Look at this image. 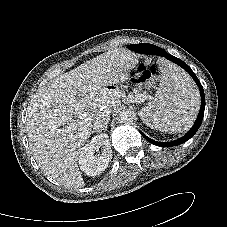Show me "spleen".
Wrapping results in <instances>:
<instances>
[{"label": "spleen", "instance_id": "obj_1", "mask_svg": "<svg viewBox=\"0 0 227 227\" xmlns=\"http://www.w3.org/2000/svg\"><path fill=\"white\" fill-rule=\"evenodd\" d=\"M154 100L140 111L143 122L162 132L189 129L199 110V93L190 77L175 65L164 62Z\"/></svg>", "mask_w": 227, "mask_h": 227}]
</instances>
